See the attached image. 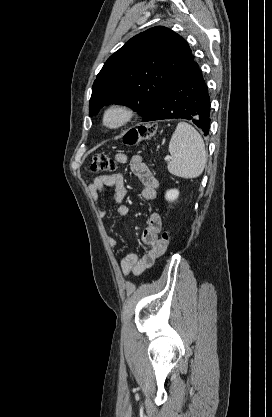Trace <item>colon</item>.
I'll list each match as a JSON object with an SVG mask.
<instances>
[{
    "label": "colon",
    "instance_id": "obj_1",
    "mask_svg": "<svg viewBox=\"0 0 272 417\" xmlns=\"http://www.w3.org/2000/svg\"><path fill=\"white\" fill-rule=\"evenodd\" d=\"M156 132L157 126L155 124L140 125L128 130L123 137V142L127 146H135L141 141L154 136ZM90 169L92 172H110L115 169V163L105 154H95ZM160 240L164 246H167L170 241V233L164 231Z\"/></svg>",
    "mask_w": 272,
    "mask_h": 417
}]
</instances>
